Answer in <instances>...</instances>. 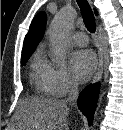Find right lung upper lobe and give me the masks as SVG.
<instances>
[{
    "label": "right lung upper lobe",
    "mask_w": 123,
    "mask_h": 130,
    "mask_svg": "<svg viewBox=\"0 0 123 130\" xmlns=\"http://www.w3.org/2000/svg\"><path fill=\"white\" fill-rule=\"evenodd\" d=\"M46 21L47 17L44 12L35 16L24 40L22 56L31 55L35 50L44 35Z\"/></svg>",
    "instance_id": "right-lung-upper-lobe-1"
}]
</instances>
